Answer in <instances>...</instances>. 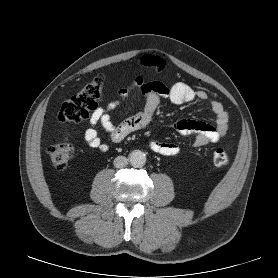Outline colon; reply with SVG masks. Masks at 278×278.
I'll return each mask as SVG.
<instances>
[{
  "instance_id": "obj_1",
  "label": "colon",
  "mask_w": 278,
  "mask_h": 278,
  "mask_svg": "<svg viewBox=\"0 0 278 278\" xmlns=\"http://www.w3.org/2000/svg\"><path fill=\"white\" fill-rule=\"evenodd\" d=\"M142 63L152 67L157 71H163L165 60L154 54L143 56ZM103 87L101 76L95 77L77 95L66 100L60 107L58 119L61 122H81L90 116L98 105ZM46 155L52 164L58 169H64L74 155V147L68 141L53 143L46 149ZM211 159L216 166H226L229 164V156L222 148H217L212 152Z\"/></svg>"
}]
</instances>
